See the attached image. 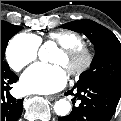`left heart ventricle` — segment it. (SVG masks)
Segmentation results:
<instances>
[{"instance_id": "obj_1", "label": "left heart ventricle", "mask_w": 121, "mask_h": 121, "mask_svg": "<svg viewBox=\"0 0 121 121\" xmlns=\"http://www.w3.org/2000/svg\"><path fill=\"white\" fill-rule=\"evenodd\" d=\"M52 62L56 65H60L66 71L69 70L70 63L60 51L53 55Z\"/></svg>"}]
</instances>
